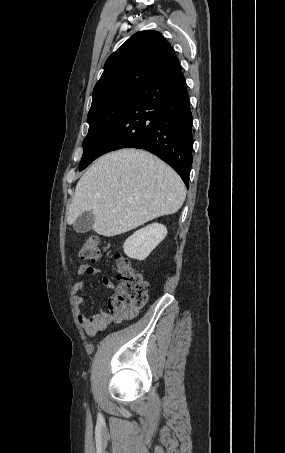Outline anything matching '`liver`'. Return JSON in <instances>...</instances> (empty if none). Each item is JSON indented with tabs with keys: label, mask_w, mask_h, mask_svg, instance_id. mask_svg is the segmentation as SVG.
<instances>
[{
	"label": "liver",
	"mask_w": 285,
	"mask_h": 453,
	"mask_svg": "<svg viewBox=\"0 0 285 453\" xmlns=\"http://www.w3.org/2000/svg\"><path fill=\"white\" fill-rule=\"evenodd\" d=\"M185 197V185L170 166L144 150L121 149L98 158L80 178L66 219L74 224L91 210L93 230L112 237L176 213Z\"/></svg>",
	"instance_id": "obj_1"
}]
</instances>
